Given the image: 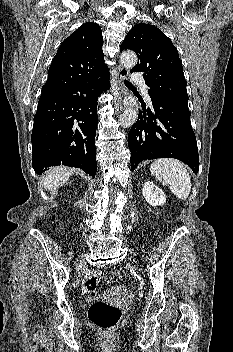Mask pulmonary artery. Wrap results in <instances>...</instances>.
Here are the masks:
<instances>
[{
  "label": "pulmonary artery",
  "mask_w": 233,
  "mask_h": 352,
  "mask_svg": "<svg viewBox=\"0 0 233 352\" xmlns=\"http://www.w3.org/2000/svg\"><path fill=\"white\" fill-rule=\"evenodd\" d=\"M132 81L135 82V83L143 85L144 94H145V96H148L147 89H146V86L144 84V79H143V77H142V75L140 73H137V72L133 73Z\"/></svg>",
  "instance_id": "1"
}]
</instances>
